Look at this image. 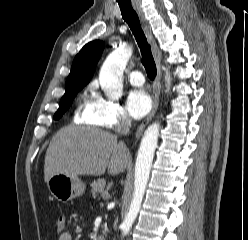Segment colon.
Returning a JSON list of instances; mask_svg holds the SVG:
<instances>
[{"label":"colon","mask_w":248,"mask_h":240,"mask_svg":"<svg viewBox=\"0 0 248 240\" xmlns=\"http://www.w3.org/2000/svg\"><path fill=\"white\" fill-rule=\"evenodd\" d=\"M56 231L61 234L65 232L66 229V217L63 214H60L56 217L55 220Z\"/></svg>","instance_id":"obj_1"}]
</instances>
